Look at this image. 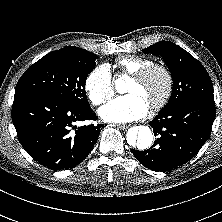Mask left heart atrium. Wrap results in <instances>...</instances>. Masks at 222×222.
Returning <instances> with one entry per match:
<instances>
[{"label": "left heart atrium", "instance_id": "1", "mask_svg": "<svg viewBox=\"0 0 222 222\" xmlns=\"http://www.w3.org/2000/svg\"><path fill=\"white\" fill-rule=\"evenodd\" d=\"M149 105L138 94L120 96L104 105L99 114L103 120L113 123H126L142 119L148 113Z\"/></svg>", "mask_w": 222, "mask_h": 222}]
</instances>
